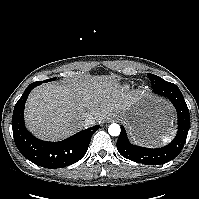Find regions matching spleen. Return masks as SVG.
Listing matches in <instances>:
<instances>
[{"mask_svg":"<svg viewBox=\"0 0 199 199\" xmlns=\"http://www.w3.org/2000/svg\"><path fill=\"white\" fill-rule=\"evenodd\" d=\"M157 140H160L162 143H168L170 141V136L168 134L161 135ZM155 141H150V144L153 145Z\"/></svg>","mask_w":199,"mask_h":199,"instance_id":"spleen-1","label":"spleen"}]
</instances>
